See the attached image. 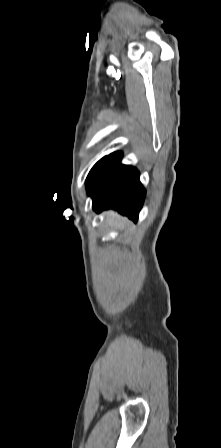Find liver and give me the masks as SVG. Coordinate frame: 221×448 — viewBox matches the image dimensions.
I'll return each instance as SVG.
<instances>
[{"label": "liver", "instance_id": "1", "mask_svg": "<svg viewBox=\"0 0 221 448\" xmlns=\"http://www.w3.org/2000/svg\"><path fill=\"white\" fill-rule=\"evenodd\" d=\"M106 219L109 224L116 227H125L128 224V220L125 217L113 211L106 212Z\"/></svg>", "mask_w": 221, "mask_h": 448}]
</instances>
